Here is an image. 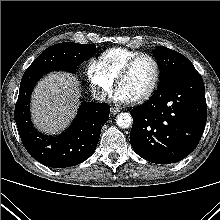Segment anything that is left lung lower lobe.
Returning a JSON list of instances; mask_svg holds the SVG:
<instances>
[{"instance_id": "1", "label": "left lung lower lobe", "mask_w": 220, "mask_h": 220, "mask_svg": "<svg viewBox=\"0 0 220 220\" xmlns=\"http://www.w3.org/2000/svg\"><path fill=\"white\" fill-rule=\"evenodd\" d=\"M130 113V142L140 157L157 164L181 161L198 145L207 120L201 75L194 66L174 72Z\"/></svg>"}]
</instances>
